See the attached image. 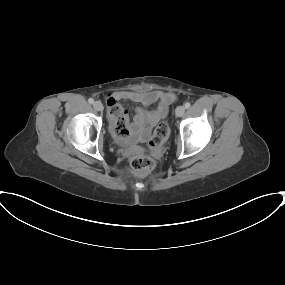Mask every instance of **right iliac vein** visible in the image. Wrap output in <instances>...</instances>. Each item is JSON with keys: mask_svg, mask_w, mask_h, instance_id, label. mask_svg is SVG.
Returning a JSON list of instances; mask_svg holds the SVG:
<instances>
[{"mask_svg": "<svg viewBox=\"0 0 285 285\" xmlns=\"http://www.w3.org/2000/svg\"><path fill=\"white\" fill-rule=\"evenodd\" d=\"M93 107H94V109H95L96 111H101V110H103V105H102V103H101L100 101H95V102L93 103Z\"/></svg>", "mask_w": 285, "mask_h": 285, "instance_id": "1", "label": "right iliac vein"}]
</instances>
